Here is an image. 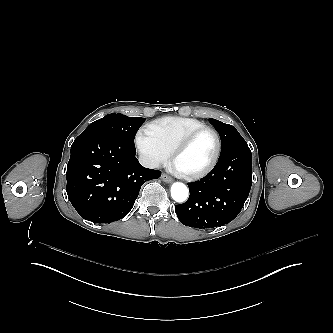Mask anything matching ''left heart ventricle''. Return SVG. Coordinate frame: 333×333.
<instances>
[{
	"instance_id": "left-heart-ventricle-1",
	"label": "left heart ventricle",
	"mask_w": 333,
	"mask_h": 333,
	"mask_svg": "<svg viewBox=\"0 0 333 333\" xmlns=\"http://www.w3.org/2000/svg\"><path fill=\"white\" fill-rule=\"evenodd\" d=\"M216 151L214 136L208 132L197 135L190 145L172 161L180 173H193L209 164Z\"/></svg>"
}]
</instances>
